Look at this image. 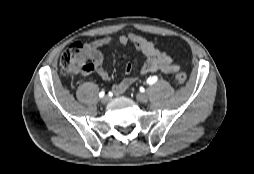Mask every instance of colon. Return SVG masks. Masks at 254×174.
<instances>
[{
    "mask_svg": "<svg viewBox=\"0 0 254 174\" xmlns=\"http://www.w3.org/2000/svg\"><path fill=\"white\" fill-rule=\"evenodd\" d=\"M60 65L64 72L70 75H78L93 70V63L88 61L87 51L81 42L72 43L62 54ZM175 83L184 85L187 76L184 72H177Z\"/></svg>",
    "mask_w": 254,
    "mask_h": 174,
    "instance_id": "colon-1",
    "label": "colon"
}]
</instances>
